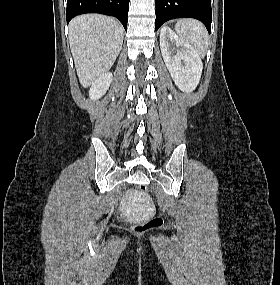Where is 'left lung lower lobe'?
<instances>
[{
    "label": "left lung lower lobe",
    "instance_id": "1",
    "mask_svg": "<svg viewBox=\"0 0 280 285\" xmlns=\"http://www.w3.org/2000/svg\"><path fill=\"white\" fill-rule=\"evenodd\" d=\"M155 30L170 19L195 18L211 32L212 12L210 0H155Z\"/></svg>",
    "mask_w": 280,
    "mask_h": 285
}]
</instances>
